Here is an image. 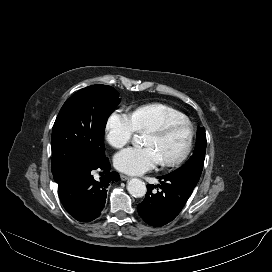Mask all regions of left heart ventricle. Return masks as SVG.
<instances>
[{"instance_id": "b2bd125f", "label": "left heart ventricle", "mask_w": 272, "mask_h": 272, "mask_svg": "<svg viewBox=\"0 0 272 272\" xmlns=\"http://www.w3.org/2000/svg\"><path fill=\"white\" fill-rule=\"evenodd\" d=\"M187 143V132L185 129H178L166 137H159L147 134L144 144L153 147L160 154L162 161L171 160L177 157Z\"/></svg>"}]
</instances>
